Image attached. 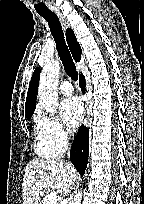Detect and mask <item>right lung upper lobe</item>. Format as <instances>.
<instances>
[{"label":"right lung upper lobe","mask_w":144,"mask_h":204,"mask_svg":"<svg viewBox=\"0 0 144 204\" xmlns=\"http://www.w3.org/2000/svg\"><path fill=\"white\" fill-rule=\"evenodd\" d=\"M66 40L71 54L76 62L80 61L82 50L71 29L66 30ZM40 69L37 67L32 75L25 104L26 116L31 117L36 107V94L39 84Z\"/></svg>","instance_id":"1"}]
</instances>
